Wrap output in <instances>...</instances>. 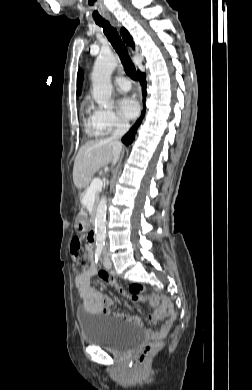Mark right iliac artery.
<instances>
[{
	"label": "right iliac artery",
	"instance_id": "82829eb1",
	"mask_svg": "<svg viewBox=\"0 0 252 390\" xmlns=\"http://www.w3.org/2000/svg\"><path fill=\"white\" fill-rule=\"evenodd\" d=\"M102 250H103V245L102 244L97 245L96 252H95V262L96 263L100 259Z\"/></svg>",
	"mask_w": 252,
	"mask_h": 390
}]
</instances>
